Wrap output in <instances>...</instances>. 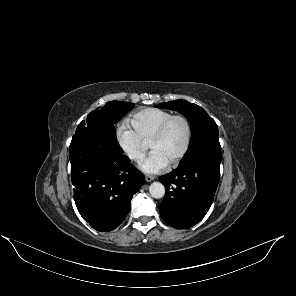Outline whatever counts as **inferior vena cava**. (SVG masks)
I'll use <instances>...</instances> for the list:
<instances>
[{
	"instance_id": "inferior-vena-cava-1",
	"label": "inferior vena cava",
	"mask_w": 296,
	"mask_h": 296,
	"mask_svg": "<svg viewBox=\"0 0 296 296\" xmlns=\"http://www.w3.org/2000/svg\"><path fill=\"white\" fill-rule=\"evenodd\" d=\"M133 158L141 160L143 158V155L142 154H135V155H133Z\"/></svg>"
}]
</instances>
